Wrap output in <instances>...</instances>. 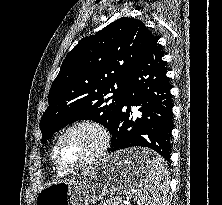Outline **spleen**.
Wrapping results in <instances>:
<instances>
[{"mask_svg":"<svg viewBox=\"0 0 222 205\" xmlns=\"http://www.w3.org/2000/svg\"><path fill=\"white\" fill-rule=\"evenodd\" d=\"M145 160L147 168L143 187L137 191L136 202L138 205H165L168 190L166 161L155 153L146 157Z\"/></svg>","mask_w":222,"mask_h":205,"instance_id":"3e777b00","label":"spleen"}]
</instances>
